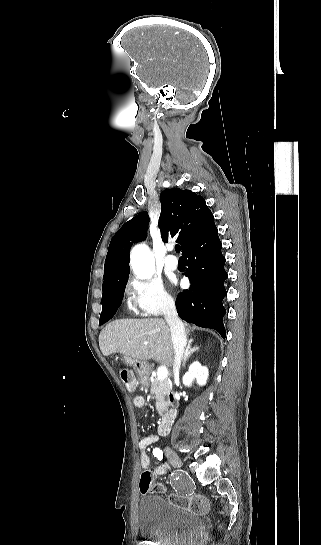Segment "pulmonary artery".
Segmentation results:
<instances>
[{
	"mask_svg": "<svg viewBox=\"0 0 321 545\" xmlns=\"http://www.w3.org/2000/svg\"><path fill=\"white\" fill-rule=\"evenodd\" d=\"M163 265L167 270L174 271L178 267V262L174 259H167L164 261Z\"/></svg>",
	"mask_w": 321,
	"mask_h": 545,
	"instance_id": "pulmonary-artery-1",
	"label": "pulmonary artery"
}]
</instances>
